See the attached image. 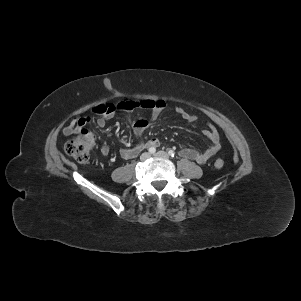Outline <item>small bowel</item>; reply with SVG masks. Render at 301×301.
Segmentation results:
<instances>
[{"instance_id":"obj_1","label":"small bowel","mask_w":301,"mask_h":301,"mask_svg":"<svg viewBox=\"0 0 301 301\" xmlns=\"http://www.w3.org/2000/svg\"><path fill=\"white\" fill-rule=\"evenodd\" d=\"M165 107L166 103L162 100L135 101L126 99L117 102L115 105L104 104L96 106L93 108V113L98 115L96 120L97 125L100 128H104L108 120L112 119L118 111L130 112L135 109H147L151 112L149 119L141 118L131 122V126L138 137V143L133 147L123 148L120 151L122 158L131 159L137 156L140 150L144 148H155L159 146V141L157 139L152 138L145 140L143 136L150 123L157 120ZM176 113L188 122L195 121V116L188 113L181 107L176 108ZM90 121V117L73 119L67 126L63 128L62 132L66 136L79 133ZM202 133L210 141L211 145L204 151H198L193 148H183L180 150V155L182 157L193 160L199 164H204L220 150L221 145L219 133L213 126H210L208 129H204ZM109 152L110 149L108 145H103L101 147V153L104 156H108Z\"/></svg>"}]
</instances>
